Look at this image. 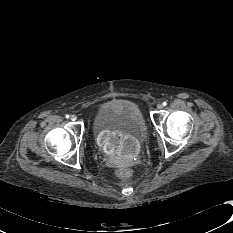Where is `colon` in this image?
Here are the masks:
<instances>
[{"instance_id": "colon-1", "label": "colon", "mask_w": 233, "mask_h": 233, "mask_svg": "<svg viewBox=\"0 0 233 233\" xmlns=\"http://www.w3.org/2000/svg\"><path fill=\"white\" fill-rule=\"evenodd\" d=\"M116 174H117V177L122 180H128L132 177V172L126 168L119 169Z\"/></svg>"}]
</instances>
